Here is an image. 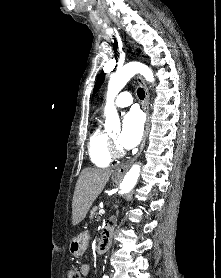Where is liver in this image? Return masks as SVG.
Here are the masks:
<instances>
[{"label": "liver", "instance_id": "1", "mask_svg": "<svg viewBox=\"0 0 221 278\" xmlns=\"http://www.w3.org/2000/svg\"><path fill=\"white\" fill-rule=\"evenodd\" d=\"M111 174L112 171L108 169L85 168L82 170L76 182L72 201V224L74 226L86 217Z\"/></svg>", "mask_w": 221, "mask_h": 278}]
</instances>
